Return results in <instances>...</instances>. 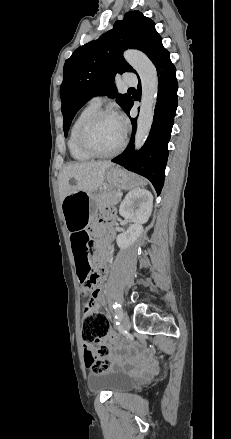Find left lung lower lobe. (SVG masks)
<instances>
[{
	"instance_id": "left-lung-lower-lobe-1",
	"label": "left lung lower lobe",
	"mask_w": 231,
	"mask_h": 439,
	"mask_svg": "<svg viewBox=\"0 0 231 439\" xmlns=\"http://www.w3.org/2000/svg\"><path fill=\"white\" fill-rule=\"evenodd\" d=\"M153 63L159 75V87L153 124L148 139L138 152L133 153L136 118H131L133 127L131 142L121 155L111 161L149 179L159 195L164 184L168 142L176 115L178 84L175 76L176 69L166 49L157 56ZM138 91L141 94L140 81ZM133 103L131 98L124 110L128 116Z\"/></svg>"
}]
</instances>
